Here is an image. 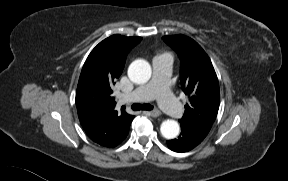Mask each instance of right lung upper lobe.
<instances>
[{
    "label": "right lung upper lobe",
    "mask_w": 288,
    "mask_h": 181,
    "mask_svg": "<svg viewBox=\"0 0 288 181\" xmlns=\"http://www.w3.org/2000/svg\"><path fill=\"white\" fill-rule=\"evenodd\" d=\"M141 37L112 35L89 54L81 71L76 106L80 123L88 136L105 147H115L129 132L134 116L115 109L111 86L121 75L126 56Z\"/></svg>",
    "instance_id": "1"
}]
</instances>
